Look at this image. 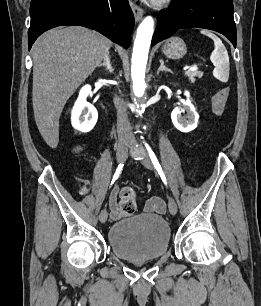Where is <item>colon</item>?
<instances>
[{
  "mask_svg": "<svg viewBox=\"0 0 261 306\" xmlns=\"http://www.w3.org/2000/svg\"><path fill=\"white\" fill-rule=\"evenodd\" d=\"M230 96V88L225 86L218 90L211 99L213 112L217 116H222L225 112L226 104ZM118 207L124 214L131 215L137 209V196L132 188H124L119 197Z\"/></svg>",
  "mask_w": 261,
  "mask_h": 306,
  "instance_id": "obj_1",
  "label": "colon"
}]
</instances>
